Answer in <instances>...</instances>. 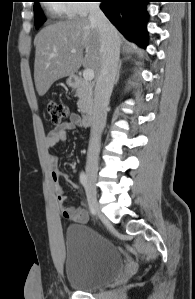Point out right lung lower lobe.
<instances>
[{
  "label": "right lung lower lobe",
  "mask_w": 195,
  "mask_h": 299,
  "mask_svg": "<svg viewBox=\"0 0 195 299\" xmlns=\"http://www.w3.org/2000/svg\"><path fill=\"white\" fill-rule=\"evenodd\" d=\"M101 10L130 41L144 47L148 42L146 6L149 0H100Z\"/></svg>",
  "instance_id": "obj_1"
}]
</instances>
